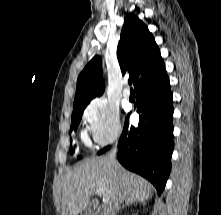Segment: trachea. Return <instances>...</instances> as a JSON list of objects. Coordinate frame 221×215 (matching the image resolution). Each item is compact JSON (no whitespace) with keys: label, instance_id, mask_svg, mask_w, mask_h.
I'll return each mask as SVG.
<instances>
[{"label":"trachea","instance_id":"1","mask_svg":"<svg viewBox=\"0 0 221 215\" xmlns=\"http://www.w3.org/2000/svg\"><path fill=\"white\" fill-rule=\"evenodd\" d=\"M129 85H132V79L128 80Z\"/></svg>","mask_w":221,"mask_h":215}]
</instances>
